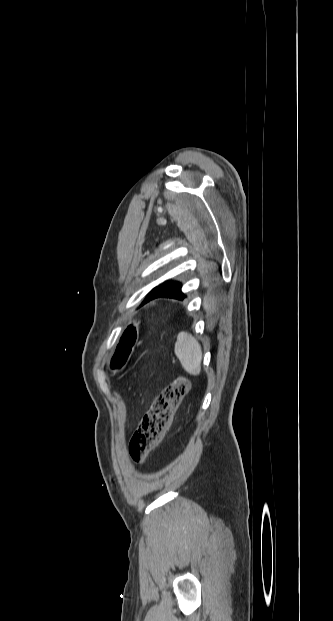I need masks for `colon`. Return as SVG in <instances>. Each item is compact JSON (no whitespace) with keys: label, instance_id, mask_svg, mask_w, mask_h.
<instances>
[{"label":"colon","instance_id":"colon-1","mask_svg":"<svg viewBox=\"0 0 333 621\" xmlns=\"http://www.w3.org/2000/svg\"><path fill=\"white\" fill-rule=\"evenodd\" d=\"M189 389V380L178 376L155 399L130 440L129 454L134 462L143 463L159 445Z\"/></svg>","mask_w":333,"mask_h":621}]
</instances>
